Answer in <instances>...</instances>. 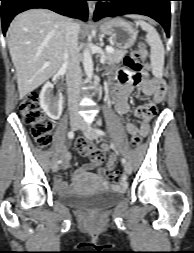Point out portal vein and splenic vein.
Returning a JSON list of instances; mask_svg holds the SVG:
<instances>
[{"label":"portal vein and splenic vein","mask_w":194,"mask_h":253,"mask_svg":"<svg viewBox=\"0 0 194 253\" xmlns=\"http://www.w3.org/2000/svg\"><path fill=\"white\" fill-rule=\"evenodd\" d=\"M105 50H106V52H108V53H112V52H113V48L110 47V46H106ZM46 65H49V63H46Z\"/></svg>","instance_id":"1"}]
</instances>
